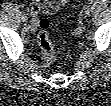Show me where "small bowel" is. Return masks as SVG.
I'll return each mask as SVG.
<instances>
[{"label": "small bowel", "instance_id": "1", "mask_svg": "<svg viewBox=\"0 0 111 106\" xmlns=\"http://www.w3.org/2000/svg\"><path fill=\"white\" fill-rule=\"evenodd\" d=\"M68 0H58V1H45L43 3V12L47 15H52L56 13L61 7L65 6ZM34 14L37 10V5H34Z\"/></svg>", "mask_w": 111, "mask_h": 106}]
</instances>
